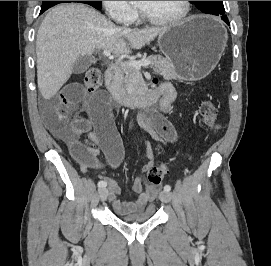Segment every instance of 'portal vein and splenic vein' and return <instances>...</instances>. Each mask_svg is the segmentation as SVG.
I'll return each instance as SVG.
<instances>
[{"label": "portal vein and splenic vein", "mask_w": 271, "mask_h": 266, "mask_svg": "<svg viewBox=\"0 0 271 266\" xmlns=\"http://www.w3.org/2000/svg\"><path fill=\"white\" fill-rule=\"evenodd\" d=\"M104 55L106 57H108L109 59H111L112 58L111 50H108V49L104 50ZM124 65H129V66H132V67L140 70L141 67H146V66L151 65V61H148V60H144V61H125Z\"/></svg>", "instance_id": "portal-vein-and-splenic-vein-1"}]
</instances>
